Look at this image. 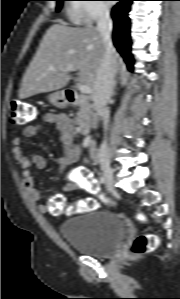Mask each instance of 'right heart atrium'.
Segmentation results:
<instances>
[{"instance_id": "1", "label": "right heart atrium", "mask_w": 180, "mask_h": 299, "mask_svg": "<svg viewBox=\"0 0 180 299\" xmlns=\"http://www.w3.org/2000/svg\"><path fill=\"white\" fill-rule=\"evenodd\" d=\"M78 2H88L77 4L73 8V13L78 20L93 22L109 14V7L104 0H80Z\"/></svg>"}]
</instances>
